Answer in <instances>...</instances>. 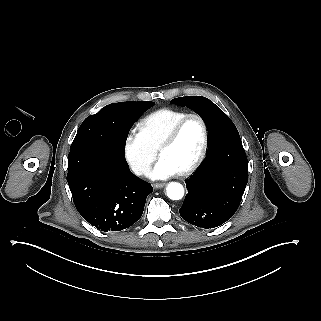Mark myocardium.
<instances>
[{
    "mask_svg": "<svg viewBox=\"0 0 321 321\" xmlns=\"http://www.w3.org/2000/svg\"><path fill=\"white\" fill-rule=\"evenodd\" d=\"M190 119H197L199 120L201 127H202V145L199 150L198 155L194 159V161L191 163L190 166H188L186 169L181 171L182 175H189L193 173L203 162L209 146V129L207 122L205 119L199 115V114H188L178 120L171 128L170 130L159 140V144H167L175 140L177 137L181 127Z\"/></svg>",
    "mask_w": 321,
    "mask_h": 321,
    "instance_id": "1",
    "label": "myocardium"
}]
</instances>
